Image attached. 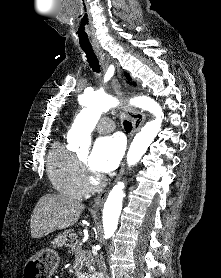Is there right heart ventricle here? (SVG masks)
Masks as SVG:
<instances>
[{"label": "right heart ventricle", "instance_id": "e07e8e85", "mask_svg": "<svg viewBox=\"0 0 221 278\" xmlns=\"http://www.w3.org/2000/svg\"><path fill=\"white\" fill-rule=\"evenodd\" d=\"M49 179L62 195L80 199L86 193L83 172L78 156L63 142H55L47 157Z\"/></svg>", "mask_w": 221, "mask_h": 278}]
</instances>
